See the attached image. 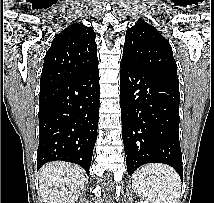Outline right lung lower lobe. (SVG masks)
Masks as SVG:
<instances>
[{
  "instance_id": "obj_1",
  "label": "right lung lower lobe",
  "mask_w": 214,
  "mask_h": 203,
  "mask_svg": "<svg viewBox=\"0 0 214 203\" xmlns=\"http://www.w3.org/2000/svg\"><path fill=\"white\" fill-rule=\"evenodd\" d=\"M98 67L39 95L37 169L62 160L89 174L99 119Z\"/></svg>"
}]
</instances>
